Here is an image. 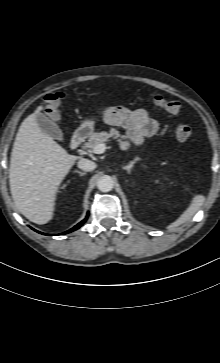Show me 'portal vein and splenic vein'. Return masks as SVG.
<instances>
[{"mask_svg":"<svg viewBox=\"0 0 220 363\" xmlns=\"http://www.w3.org/2000/svg\"><path fill=\"white\" fill-rule=\"evenodd\" d=\"M107 149V146L105 143H100L98 145H96L93 149L92 152L95 154H102L105 152V150Z\"/></svg>","mask_w":220,"mask_h":363,"instance_id":"obj_1","label":"portal vein and splenic vein"}]
</instances>
